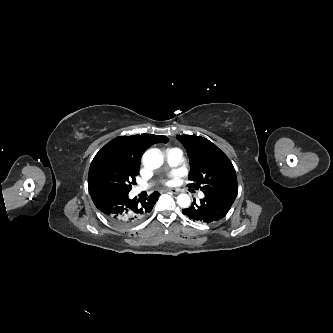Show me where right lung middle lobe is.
I'll list each match as a JSON object with an SVG mask.
<instances>
[{
	"label": "right lung middle lobe",
	"instance_id": "dd1d6c3e",
	"mask_svg": "<svg viewBox=\"0 0 333 333\" xmlns=\"http://www.w3.org/2000/svg\"><path fill=\"white\" fill-rule=\"evenodd\" d=\"M139 168L115 155L96 156L90 165L88 186L102 185L129 192L136 184Z\"/></svg>",
	"mask_w": 333,
	"mask_h": 333
}]
</instances>
